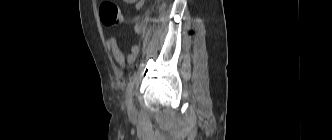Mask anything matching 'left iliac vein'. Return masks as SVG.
Returning <instances> with one entry per match:
<instances>
[{"mask_svg": "<svg viewBox=\"0 0 332 140\" xmlns=\"http://www.w3.org/2000/svg\"><path fill=\"white\" fill-rule=\"evenodd\" d=\"M129 110H130V111H133V110H134V107H133L132 103L129 104Z\"/></svg>", "mask_w": 332, "mask_h": 140, "instance_id": "obj_1", "label": "left iliac vein"}]
</instances>
